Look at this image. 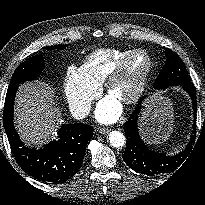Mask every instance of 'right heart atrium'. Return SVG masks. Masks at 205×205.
<instances>
[{
	"mask_svg": "<svg viewBox=\"0 0 205 205\" xmlns=\"http://www.w3.org/2000/svg\"><path fill=\"white\" fill-rule=\"evenodd\" d=\"M100 86L90 82L80 68L69 66L64 78V94L70 111L83 117L90 111L91 102L98 95Z\"/></svg>",
	"mask_w": 205,
	"mask_h": 205,
	"instance_id": "right-heart-atrium-1",
	"label": "right heart atrium"
}]
</instances>
